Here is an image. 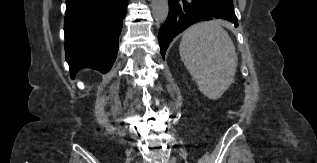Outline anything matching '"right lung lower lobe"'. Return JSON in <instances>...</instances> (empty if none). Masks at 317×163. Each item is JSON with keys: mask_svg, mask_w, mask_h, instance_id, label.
<instances>
[{"mask_svg": "<svg viewBox=\"0 0 317 163\" xmlns=\"http://www.w3.org/2000/svg\"><path fill=\"white\" fill-rule=\"evenodd\" d=\"M127 5V0H66L65 51L71 78L82 68L110 70Z\"/></svg>", "mask_w": 317, "mask_h": 163, "instance_id": "right-lung-lower-lobe-1", "label": "right lung lower lobe"}]
</instances>
